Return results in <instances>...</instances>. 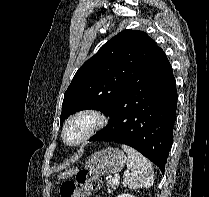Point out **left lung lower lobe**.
<instances>
[{
	"label": "left lung lower lobe",
	"instance_id": "0a47b994",
	"mask_svg": "<svg viewBox=\"0 0 209 197\" xmlns=\"http://www.w3.org/2000/svg\"><path fill=\"white\" fill-rule=\"evenodd\" d=\"M177 90L172 67L162 51L144 77L108 114V125L89 141L129 145L156 164L164 174L172 145Z\"/></svg>",
	"mask_w": 209,
	"mask_h": 197
}]
</instances>
